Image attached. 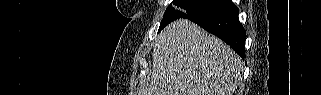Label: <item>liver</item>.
<instances>
[{
  "label": "liver",
  "mask_w": 321,
  "mask_h": 95,
  "mask_svg": "<svg viewBox=\"0 0 321 95\" xmlns=\"http://www.w3.org/2000/svg\"><path fill=\"white\" fill-rule=\"evenodd\" d=\"M152 58L139 95H233L243 71L229 46L186 19L163 30Z\"/></svg>",
  "instance_id": "6515ba94"
}]
</instances>
